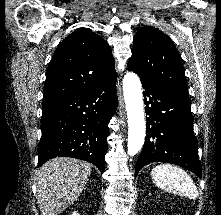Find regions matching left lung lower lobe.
<instances>
[{
    "instance_id": "0a47b994",
    "label": "left lung lower lobe",
    "mask_w": 221,
    "mask_h": 215,
    "mask_svg": "<svg viewBox=\"0 0 221 215\" xmlns=\"http://www.w3.org/2000/svg\"><path fill=\"white\" fill-rule=\"evenodd\" d=\"M141 82L148 116L147 135L135 174L151 162H167L184 167L201 177L189 98L164 91L147 81Z\"/></svg>"
}]
</instances>
